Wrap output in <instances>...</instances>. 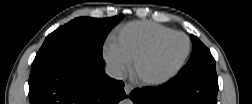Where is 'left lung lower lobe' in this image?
<instances>
[{"mask_svg": "<svg viewBox=\"0 0 252 104\" xmlns=\"http://www.w3.org/2000/svg\"><path fill=\"white\" fill-rule=\"evenodd\" d=\"M218 77L215 69L196 70L178 75L152 89H134L135 104H216Z\"/></svg>", "mask_w": 252, "mask_h": 104, "instance_id": "0a47b994", "label": "left lung lower lobe"}]
</instances>
